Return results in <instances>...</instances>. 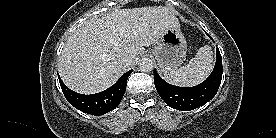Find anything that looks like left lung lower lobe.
I'll return each instance as SVG.
<instances>
[{"label": "left lung lower lobe", "instance_id": "obj_1", "mask_svg": "<svg viewBox=\"0 0 276 138\" xmlns=\"http://www.w3.org/2000/svg\"><path fill=\"white\" fill-rule=\"evenodd\" d=\"M215 67L210 76L194 87H178L165 82L154 70V82L160 97L174 109L190 111L210 101L218 91L222 79V58L217 48Z\"/></svg>", "mask_w": 276, "mask_h": 138}]
</instances>
